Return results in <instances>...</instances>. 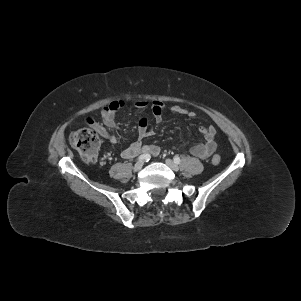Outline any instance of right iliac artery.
<instances>
[{
  "mask_svg": "<svg viewBox=\"0 0 301 301\" xmlns=\"http://www.w3.org/2000/svg\"><path fill=\"white\" fill-rule=\"evenodd\" d=\"M150 157H151L150 154L145 153V154L140 155V156L138 157V160L149 161Z\"/></svg>",
  "mask_w": 301,
  "mask_h": 301,
  "instance_id": "obj_1",
  "label": "right iliac artery"
}]
</instances>
